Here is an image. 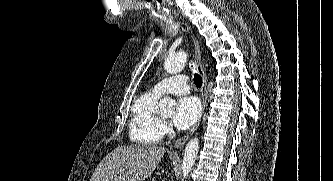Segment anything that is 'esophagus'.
Listing matches in <instances>:
<instances>
[{
    "label": "esophagus",
    "mask_w": 333,
    "mask_h": 181,
    "mask_svg": "<svg viewBox=\"0 0 333 181\" xmlns=\"http://www.w3.org/2000/svg\"><path fill=\"white\" fill-rule=\"evenodd\" d=\"M189 30L191 31V35L194 41V61H195V67L197 72L200 74V76L202 77V87L200 89V93H201V97H202V114L205 110L206 107V103H207V97H208V90H207V76H206V71L202 62V51H201V47H200V42L197 39V37H195V35L193 34V31L191 30V28L189 27ZM202 114L200 116V118L198 119V121L195 123V125L191 128V130L184 135L183 137L179 138L176 143L174 144V148L175 149H180L184 146V144L186 143V141L193 135V133L196 131V129L198 128L199 124H200V120L202 117Z\"/></svg>",
    "instance_id": "esophagus-1"
}]
</instances>
